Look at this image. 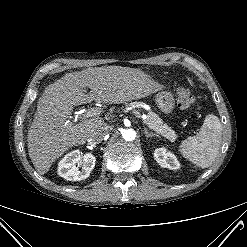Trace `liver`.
<instances>
[{
  "mask_svg": "<svg viewBox=\"0 0 247 247\" xmlns=\"http://www.w3.org/2000/svg\"><path fill=\"white\" fill-rule=\"evenodd\" d=\"M90 93L85 94L84 88ZM162 87L129 67L108 66L68 73L48 85L28 131V153L36 171L47 173L53 162L72 146L83 143L102 127L101 117L69 121L73 108L91 101L119 104L144 98Z\"/></svg>",
  "mask_w": 247,
  "mask_h": 247,
  "instance_id": "6515ba94",
  "label": "liver"
}]
</instances>
